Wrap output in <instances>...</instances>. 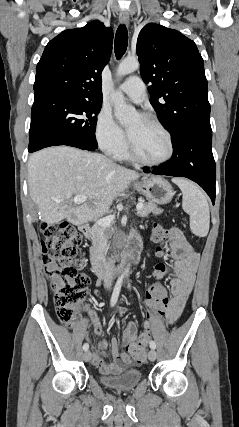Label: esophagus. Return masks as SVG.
<instances>
[{
  "label": "esophagus",
  "instance_id": "1",
  "mask_svg": "<svg viewBox=\"0 0 239 427\" xmlns=\"http://www.w3.org/2000/svg\"><path fill=\"white\" fill-rule=\"evenodd\" d=\"M119 20L122 24L128 25L129 24V15L126 12H121L119 14Z\"/></svg>",
  "mask_w": 239,
  "mask_h": 427
}]
</instances>
